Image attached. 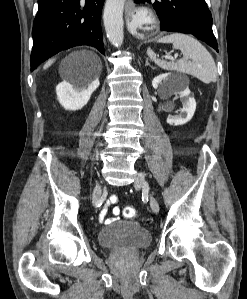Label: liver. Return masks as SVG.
I'll return each instance as SVG.
<instances>
[{"instance_id": "6515ba94", "label": "liver", "mask_w": 247, "mask_h": 299, "mask_svg": "<svg viewBox=\"0 0 247 299\" xmlns=\"http://www.w3.org/2000/svg\"><path fill=\"white\" fill-rule=\"evenodd\" d=\"M85 53H87L88 55H90V56L93 58V60H94V61L96 62V64L98 65L99 70H101V61H100L99 57H98L95 53H93V52H91V51H85ZM53 62H54V59L48 61V62L44 65V69H47Z\"/></svg>"}]
</instances>
